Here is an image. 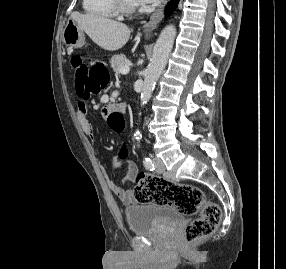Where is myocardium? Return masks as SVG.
Segmentation results:
<instances>
[{
    "mask_svg": "<svg viewBox=\"0 0 286 269\" xmlns=\"http://www.w3.org/2000/svg\"><path fill=\"white\" fill-rule=\"evenodd\" d=\"M111 3L117 13L130 15L137 11V4H130L127 0H111Z\"/></svg>",
    "mask_w": 286,
    "mask_h": 269,
    "instance_id": "obj_1",
    "label": "myocardium"
}]
</instances>
